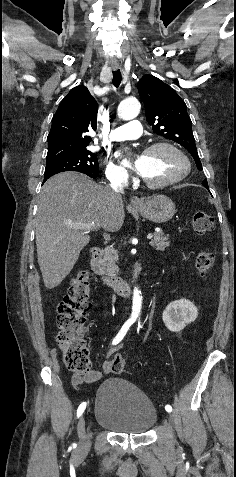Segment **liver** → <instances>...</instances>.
<instances>
[{"label": "liver", "instance_id": "1", "mask_svg": "<svg viewBox=\"0 0 236 477\" xmlns=\"http://www.w3.org/2000/svg\"><path fill=\"white\" fill-rule=\"evenodd\" d=\"M125 218L122 197L77 172H64L42 186L36 218L37 258L48 289L57 287L71 272L81 250L89 243L90 229L97 225L113 232Z\"/></svg>", "mask_w": 236, "mask_h": 477}]
</instances>
